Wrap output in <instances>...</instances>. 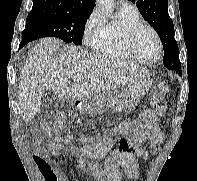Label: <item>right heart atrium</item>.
I'll list each match as a JSON object with an SVG mask.
<instances>
[{"mask_svg":"<svg viewBox=\"0 0 197 181\" xmlns=\"http://www.w3.org/2000/svg\"><path fill=\"white\" fill-rule=\"evenodd\" d=\"M104 18L98 8H94L87 17L84 29L83 38L86 43L92 44L93 40L101 33L104 27Z\"/></svg>","mask_w":197,"mask_h":181,"instance_id":"1","label":"right heart atrium"}]
</instances>
